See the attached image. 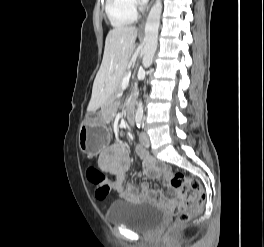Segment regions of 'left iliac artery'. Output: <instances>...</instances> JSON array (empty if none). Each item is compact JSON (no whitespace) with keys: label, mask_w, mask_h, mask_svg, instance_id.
<instances>
[{"label":"left iliac artery","mask_w":264,"mask_h":247,"mask_svg":"<svg viewBox=\"0 0 264 247\" xmlns=\"http://www.w3.org/2000/svg\"><path fill=\"white\" fill-rule=\"evenodd\" d=\"M141 124H142V121H141V120H137V127H138V128L141 127Z\"/></svg>","instance_id":"44dca946"}]
</instances>
